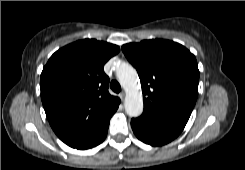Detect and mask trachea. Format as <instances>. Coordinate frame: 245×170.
Segmentation results:
<instances>
[{
  "label": "trachea",
  "mask_w": 245,
  "mask_h": 170,
  "mask_svg": "<svg viewBox=\"0 0 245 170\" xmlns=\"http://www.w3.org/2000/svg\"><path fill=\"white\" fill-rule=\"evenodd\" d=\"M110 87H111L112 91L115 93H119L121 91V86L117 80L111 81Z\"/></svg>",
  "instance_id": "1"
}]
</instances>
